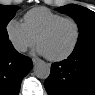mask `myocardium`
<instances>
[{
  "instance_id": "myocardium-1",
  "label": "myocardium",
  "mask_w": 95,
  "mask_h": 95,
  "mask_svg": "<svg viewBox=\"0 0 95 95\" xmlns=\"http://www.w3.org/2000/svg\"><path fill=\"white\" fill-rule=\"evenodd\" d=\"M66 21H70V22L74 23V25L76 27V38H75V41H74L73 45L71 46V48L67 52H65L64 54H62L60 56L51 57V56L45 55L46 58L48 60H50V61L59 62V61L67 59L69 56H71L73 54V52L76 50L77 46L79 45V42H80V39H81V25H80V23L75 18L63 17V18H61V19L51 23L44 30H42L40 32V34L37 36L36 42H37V45H39L40 40L43 37H45L46 35L50 34L58 25H60L63 22H66Z\"/></svg>"
}]
</instances>
